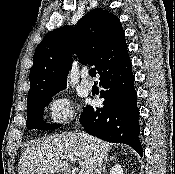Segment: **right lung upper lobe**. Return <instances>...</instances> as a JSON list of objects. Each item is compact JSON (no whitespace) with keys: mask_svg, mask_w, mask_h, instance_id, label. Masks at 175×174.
<instances>
[{"mask_svg":"<svg viewBox=\"0 0 175 174\" xmlns=\"http://www.w3.org/2000/svg\"><path fill=\"white\" fill-rule=\"evenodd\" d=\"M73 52L81 63L95 65L100 75L127 53L120 20L108 10L96 8L77 27L65 26L49 32L33 57L27 102L66 87Z\"/></svg>","mask_w":175,"mask_h":174,"instance_id":"right-lung-upper-lobe-1","label":"right lung upper lobe"}]
</instances>
